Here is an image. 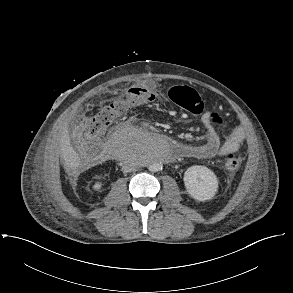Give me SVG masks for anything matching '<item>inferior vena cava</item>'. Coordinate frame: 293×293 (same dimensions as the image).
<instances>
[{"mask_svg":"<svg viewBox=\"0 0 293 293\" xmlns=\"http://www.w3.org/2000/svg\"><path fill=\"white\" fill-rule=\"evenodd\" d=\"M135 169V166L134 165H132V164H124L123 166H122V172L123 173H128V172H131V171H133Z\"/></svg>","mask_w":293,"mask_h":293,"instance_id":"obj_1","label":"inferior vena cava"}]
</instances>
